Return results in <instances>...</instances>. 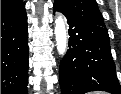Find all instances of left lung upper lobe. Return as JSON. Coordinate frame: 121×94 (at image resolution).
<instances>
[{
	"mask_svg": "<svg viewBox=\"0 0 121 94\" xmlns=\"http://www.w3.org/2000/svg\"><path fill=\"white\" fill-rule=\"evenodd\" d=\"M55 2L65 13L105 27L102 14L95 0H55Z\"/></svg>",
	"mask_w": 121,
	"mask_h": 94,
	"instance_id": "left-lung-upper-lobe-1",
	"label": "left lung upper lobe"
}]
</instances>
